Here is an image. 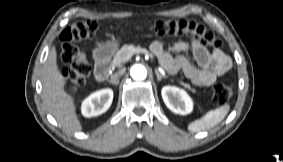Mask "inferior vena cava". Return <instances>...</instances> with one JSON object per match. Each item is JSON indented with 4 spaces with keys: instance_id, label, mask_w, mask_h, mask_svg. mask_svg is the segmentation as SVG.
<instances>
[{
    "instance_id": "1",
    "label": "inferior vena cava",
    "mask_w": 283,
    "mask_h": 162,
    "mask_svg": "<svg viewBox=\"0 0 283 162\" xmlns=\"http://www.w3.org/2000/svg\"><path fill=\"white\" fill-rule=\"evenodd\" d=\"M124 73H125V69L119 70L118 72L114 73V74L111 76V80L114 81V82H119V78H120L121 76H123Z\"/></svg>"
}]
</instances>
